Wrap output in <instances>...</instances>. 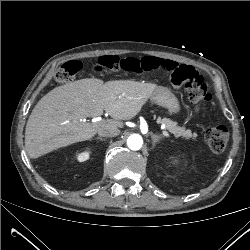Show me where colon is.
<instances>
[{
	"mask_svg": "<svg viewBox=\"0 0 250 250\" xmlns=\"http://www.w3.org/2000/svg\"><path fill=\"white\" fill-rule=\"evenodd\" d=\"M98 70L102 72H139L161 70L162 65L154 60L119 58L115 56L102 57L97 61ZM82 64L78 60H70L61 65L56 73L55 79L58 82L66 83L71 81L81 70ZM172 72L171 81L175 86L183 85L187 100L196 106H205L212 100L203 75L194 67L181 65ZM228 130L223 125L208 128L205 131V140L210 149L215 153L222 152L228 142Z\"/></svg>",
	"mask_w": 250,
	"mask_h": 250,
	"instance_id": "obj_1",
	"label": "colon"
}]
</instances>
